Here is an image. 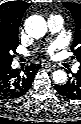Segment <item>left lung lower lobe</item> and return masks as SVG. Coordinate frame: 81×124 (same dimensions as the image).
I'll list each match as a JSON object with an SVG mask.
<instances>
[{
  "instance_id": "left-lung-lower-lobe-1",
  "label": "left lung lower lobe",
  "mask_w": 81,
  "mask_h": 124,
  "mask_svg": "<svg viewBox=\"0 0 81 124\" xmlns=\"http://www.w3.org/2000/svg\"><path fill=\"white\" fill-rule=\"evenodd\" d=\"M56 91L71 100L81 98V71L76 74H72V78H69L68 82L63 85H55Z\"/></svg>"
}]
</instances>
